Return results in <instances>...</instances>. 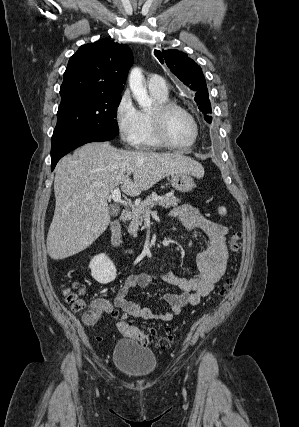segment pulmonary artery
Wrapping results in <instances>:
<instances>
[{
	"instance_id": "obj_1",
	"label": "pulmonary artery",
	"mask_w": 299,
	"mask_h": 427,
	"mask_svg": "<svg viewBox=\"0 0 299 427\" xmlns=\"http://www.w3.org/2000/svg\"><path fill=\"white\" fill-rule=\"evenodd\" d=\"M147 86L150 91L159 93V94H167L168 93V85L165 79L157 74L152 75L147 80Z\"/></svg>"
}]
</instances>
